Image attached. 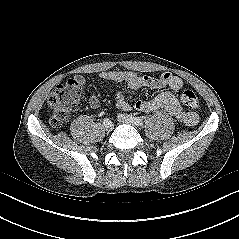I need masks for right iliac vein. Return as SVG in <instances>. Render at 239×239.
Masks as SVG:
<instances>
[{
  "label": "right iliac vein",
  "instance_id": "63e3f726",
  "mask_svg": "<svg viewBox=\"0 0 239 239\" xmlns=\"http://www.w3.org/2000/svg\"><path fill=\"white\" fill-rule=\"evenodd\" d=\"M104 128L106 131H112L114 126H109V125L104 124Z\"/></svg>",
  "mask_w": 239,
  "mask_h": 239
}]
</instances>
